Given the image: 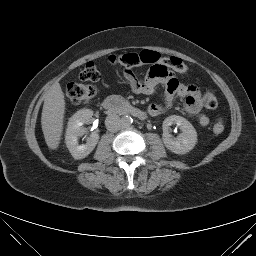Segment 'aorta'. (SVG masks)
Segmentation results:
<instances>
[{
    "label": "aorta",
    "mask_w": 256,
    "mask_h": 256,
    "mask_svg": "<svg viewBox=\"0 0 256 256\" xmlns=\"http://www.w3.org/2000/svg\"><path fill=\"white\" fill-rule=\"evenodd\" d=\"M132 123H133V119L131 116L126 115L121 118L122 127H125V128L129 127Z\"/></svg>",
    "instance_id": "762f6f07"
}]
</instances>
